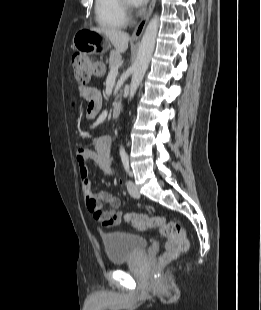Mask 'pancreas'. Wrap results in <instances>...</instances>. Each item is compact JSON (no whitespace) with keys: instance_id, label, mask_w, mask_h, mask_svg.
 Returning a JSON list of instances; mask_svg holds the SVG:
<instances>
[{"instance_id":"1","label":"pancreas","mask_w":261,"mask_h":310,"mask_svg":"<svg viewBox=\"0 0 261 310\" xmlns=\"http://www.w3.org/2000/svg\"><path fill=\"white\" fill-rule=\"evenodd\" d=\"M121 62V55L117 51H111L109 57V67H117Z\"/></svg>"}]
</instances>
